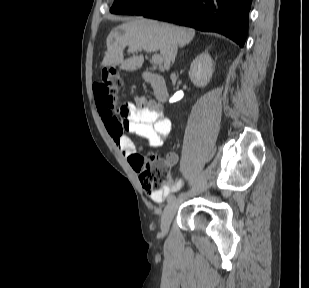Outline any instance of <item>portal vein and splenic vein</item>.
<instances>
[{"label":"portal vein and splenic vein","instance_id":"1","mask_svg":"<svg viewBox=\"0 0 309 288\" xmlns=\"http://www.w3.org/2000/svg\"><path fill=\"white\" fill-rule=\"evenodd\" d=\"M133 51H136V50H133ZM152 62L155 65L161 66L162 63H163V59H162V57L160 55L154 54V55H152Z\"/></svg>","mask_w":309,"mask_h":288}]
</instances>
